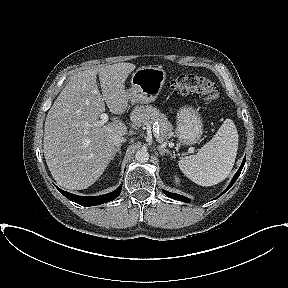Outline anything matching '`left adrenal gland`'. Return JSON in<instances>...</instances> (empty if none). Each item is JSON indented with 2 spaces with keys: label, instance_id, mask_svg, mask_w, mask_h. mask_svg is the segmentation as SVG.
<instances>
[{
  "label": "left adrenal gland",
  "instance_id": "1",
  "mask_svg": "<svg viewBox=\"0 0 288 288\" xmlns=\"http://www.w3.org/2000/svg\"><path fill=\"white\" fill-rule=\"evenodd\" d=\"M157 149H158V151H159V153L162 155V156H164L165 154H167V155H170L172 158H175V153H171L168 149H166L164 146H162V145H159L158 147H157Z\"/></svg>",
  "mask_w": 288,
  "mask_h": 288
}]
</instances>
